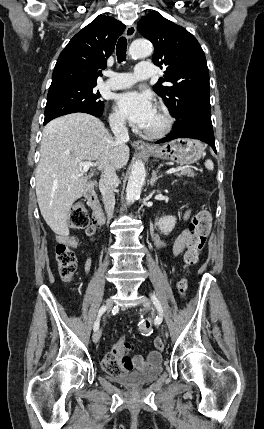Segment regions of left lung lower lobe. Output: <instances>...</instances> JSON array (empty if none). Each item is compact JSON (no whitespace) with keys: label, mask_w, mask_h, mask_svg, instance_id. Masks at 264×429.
Returning a JSON list of instances; mask_svg holds the SVG:
<instances>
[{"label":"left lung lower lobe","mask_w":264,"mask_h":429,"mask_svg":"<svg viewBox=\"0 0 264 429\" xmlns=\"http://www.w3.org/2000/svg\"><path fill=\"white\" fill-rule=\"evenodd\" d=\"M176 138H194L208 143L216 152L210 107L201 106L190 110L187 117L176 121L173 132L156 143L168 142Z\"/></svg>","instance_id":"left-lung-lower-lobe-1"}]
</instances>
